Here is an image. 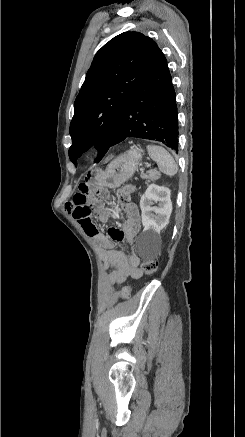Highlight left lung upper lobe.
Wrapping results in <instances>:
<instances>
[{
  "label": "left lung upper lobe",
  "instance_id": "left-lung-upper-lobe-1",
  "mask_svg": "<svg viewBox=\"0 0 245 437\" xmlns=\"http://www.w3.org/2000/svg\"><path fill=\"white\" fill-rule=\"evenodd\" d=\"M158 50L150 37L128 31L96 53L74 102L69 158L75 165L93 145L99 151L96 161L106 154L124 106Z\"/></svg>",
  "mask_w": 245,
  "mask_h": 437
}]
</instances>
